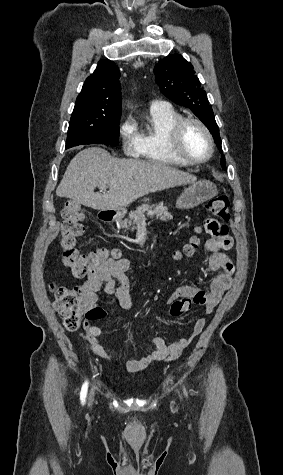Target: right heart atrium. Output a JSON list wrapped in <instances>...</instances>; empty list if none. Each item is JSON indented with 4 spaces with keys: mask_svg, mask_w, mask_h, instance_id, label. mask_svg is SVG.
<instances>
[{
    "mask_svg": "<svg viewBox=\"0 0 283 475\" xmlns=\"http://www.w3.org/2000/svg\"><path fill=\"white\" fill-rule=\"evenodd\" d=\"M117 132L121 139L123 155L129 158L138 157L141 150V142L138 139L132 120L128 117L123 118Z\"/></svg>",
    "mask_w": 283,
    "mask_h": 475,
    "instance_id": "obj_1",
    "label": "right heart atrium"
}]
</instances>
